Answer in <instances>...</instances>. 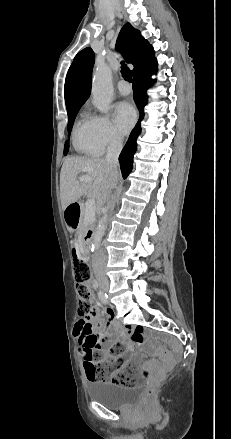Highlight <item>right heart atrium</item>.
<instances>
[{
	"label": "right heart atrium",
	"instance_id": "d8ad5b80",
	"mask_svg": "<svg viewBox=\"0 0 231 439\" xmlns=\"http://www.w3.org/2000/svg\"><path fill=\"white\" fill-rule=\"evenodd\" d=\"M89 126L91 141L100 153L121 145L122 137L107 116L92 114Z\"/></svg>",
	"mask_w": 231,
	"mask_h": 439
}]
</instances>
